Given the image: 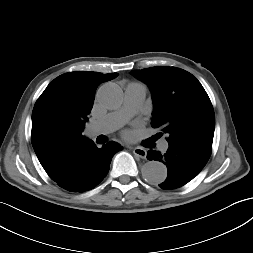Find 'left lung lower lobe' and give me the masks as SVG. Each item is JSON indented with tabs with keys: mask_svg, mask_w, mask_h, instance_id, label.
<instances>
[{
	"mask_svg": "<svg viewBox=\"0 0 253 253\" xmlns=\"http://www.w3.org/2000/svg\"><path fill=\"white\" fill-rule=\"evenodd\" d=\"M211 152L179 143H169L165 154L150 150L149 160L166 164L168 176L159 186L162 189H175L192 180L206 165Z\"/></svg>",
	"mask_w": 253,
	"mask_h": 253,
	"instance_id": "left-lung-lower-lobe-1",
	"label": "left lung lower lobe"
}]
</instances>
